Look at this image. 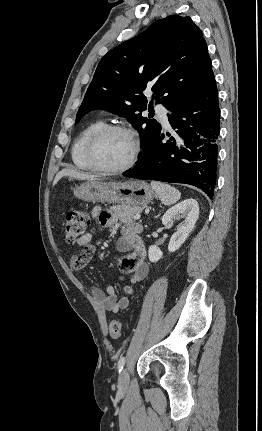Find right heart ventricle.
Listing matches in <instances>:
<instances>
[{"instance_id":"right-heart-ventricle-1","label":"right heart ventricle","mask_w":262,"mask_h":431,"mask_svg":"<svg viewBox=\"0 0 262 431\" xmlns=\"http://www.w3.org/2000/svg\"><path fill=\"white\" fill-rule=\"evenodd\" d=\"M105 125L102 119H96L87 125L75 138L71 147V159L75 168L82 171H94L86 160V146L90 137Z\"/></svg>"}]
</instances>
